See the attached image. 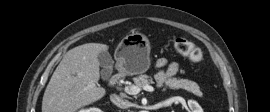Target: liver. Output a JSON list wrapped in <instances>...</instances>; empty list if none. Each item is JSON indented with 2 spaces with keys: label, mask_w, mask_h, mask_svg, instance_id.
Masks as SVG:
<instances>
[{
  "label": "liver",
  "mask_w": 270,
  "mask_h": 112,
  "mask_svg": "<svg viewBox=\"0 0 270 112\" xmlns=\"http://www.w3.org/2000/svg\"><path fill=\"white\" fill-rule=\"evenodd\" d=\"M107 50L106 44L87 43L68 51L46 87L42 112H76L103 98L99 54Z\"/></svg>",
  "instance_id": "obj_1"
}]
</instances>
